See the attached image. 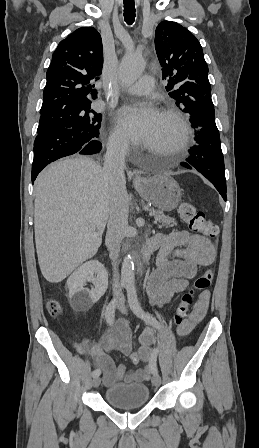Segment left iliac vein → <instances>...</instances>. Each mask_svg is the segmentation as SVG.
I'll list each match as a JSON object with an SVG mask.
<instances>
[{
  "label": "left iliac vein",
  "mask_w": 259,
  "mask_h": 448,
  "mask_svg": "<svg viewBox=\"0 0 259 448\" xmlns=\"http://www.w3.org/2000/svg\"><path fill=\"white\" fill-rule=\"evenodd\" d=\"M118 309L123 313L126 314V307L124 305V300L121 298L119 300ZM152 384L156 387L160 386L161 384V377L157 374H154L152 377Z\"/></svg>",
  "instance_id": "left-iliac-vein-1"
}]
</instances>
